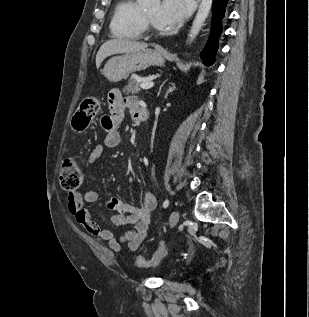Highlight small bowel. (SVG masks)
Here are the masks:
<instances>
[{"label":"small bowel","instance_id":"c3829d8e","mask_svg":"<svg viewBox=\"0 0 309 317\" xmlns=\"http://www.w3.org/2000/svg\"><path fill=\"white\" fill-rule=\"evenodd\" d=\"M109 114L101 118V125L105 131L102 144L97 145L89 154L88 162H97L106 149L116 148L120 143L118 128L123 120L125 109H129L133 119L139 120L140 104L135 97H124L118 89H112L108 95ZM99 194L94 189L84 193L71 192L68 195V210L74 220L92 234L99 242L107 243L114 252H121L126 244L130 251H135L146 236L151 213L156 207V198L150 191L142 195L140 206L132 205L113 198L108 202V208L115 212L109 221L117 226L132 225L119 239L110 230L94 221L87 209L88 203H95Z\"/></svg>","mask_w":309,"mask_h":317}]
</instances>
